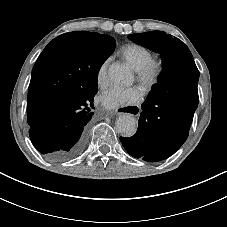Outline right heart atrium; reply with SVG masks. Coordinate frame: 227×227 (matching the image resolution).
I'll list each match as a JSON object with an SVG mask.
<instances>
[{"label":"right heart atrium","instance_id":"d8ad5b80","mask_svg":"<svg viewBox=\"0 0 227 227\" xmlns=\"http://www.w3.org/2000/svg\"><path fill=\"white\" fill-rule=\"evenodd\" d=\"M109 61V59H105L103 62H101L96 72V83L101 88L105 87L108 84Z\"/></svg>","mask_w":227,"mask_h":227}]
</instances>
